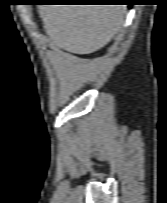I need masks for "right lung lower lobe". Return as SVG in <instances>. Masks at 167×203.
<instances>
[{"label": "right lung lower lobe", "mask_w": 167, "mask_h": 203, "mask_svg": "<svg viewBox=\"0 0 167 203\" xmlns=\"http://www.w3.org/2000/svg\"><path fill=\"white\" fill-rule=\"evenodd\" d=\"M92 1V0H91ZM108 1H115V0H108ZM103 3H112V2H103Z\"/></svg>", "instance_id": "1"}]
</instances>
